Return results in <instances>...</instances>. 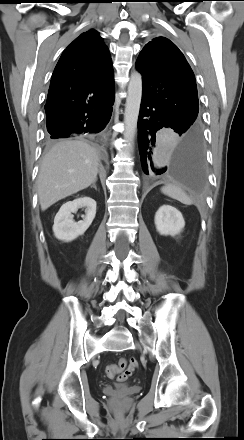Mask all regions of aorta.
I'll return each mask as SVG.
<instances>
[{
    "mask_svg": "<svg viewBox=\"0 0 244 440\" xmlns=\"http://www.w3.org/2000/svg\"><path fill=\"white\" fill-rule=\"evenodd\" d=\"M127 93L124 113V138L128 144L129 152L132 153L142 98V77L140 73L134 72L131 74Z\"/></svg>",
    "mask_w": 244,
    "mask_h": 440,
    "instance_id": "762f6f07",
    "label": "aorta"
}]
</instances>
